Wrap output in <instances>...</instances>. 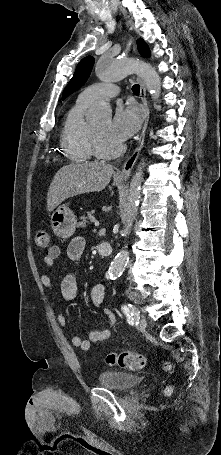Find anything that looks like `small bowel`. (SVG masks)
<instances>
[{"instance_id":"small-bowel-1","label":"small bowel","mask_w":221,"mask_h":455,"mask_svg":"<svg viewBox=\"0 0 221 455\" xmlns=\"http://www.w3.org/2000/svg\"><path fill=\"white\" fill-rule=\"evenodd\" d=\"M85 247H86L85 240L82 237H75L69 243L65 251V255L71 262H76L83 255ZM63 254L64 251L60 247L53 246L50 250L46 252L43 258L44 265L48 268H51L54 264V261L61 257ZM40 281L44 287L49 289H56L50 277L46 273L40 274ZM59 291L66 301H72L75 299L77 295V283L73 272L68 273L64 277L59 286ZM104 294L105 287L103 284L98 283L94 285L90 294L91 304L96 309H102L110 325H113L116 320L114 313L110 309L103 308ZM56 319L61 327H65L67 325V321L64 315L57 314ZM110 335L111 332L108 329L96 330L91 332L89 338L87 339H83L79 336H73L71 341L75 347H78L83 351H88L91 348L92 343L104 341L108 339Z\"/></svg>"}]
</instances>
